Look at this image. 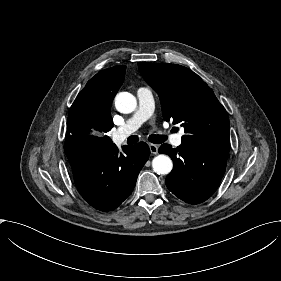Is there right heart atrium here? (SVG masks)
<instances>
[{"label": "right heart atrium", "mask_w": 281, "mask_h": 281, "mask_svg": "<svg viewBox=\"0 0 281 281\" xmlns=\"http://www.w3.org/2000/svg\"><path fill=\"white\" fill-rule=\"evenodd\" d=\"M130 101V96L126 93H120L116 97V105L117 103L124 109L128 107Z\"/></svg>", "instance_id": "d8ad5b80"}]
</instances>
